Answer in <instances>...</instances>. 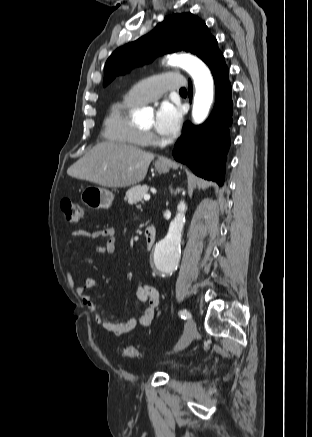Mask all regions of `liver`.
<instances>
[{
	"instance_id": "liver-1",
	"label": "liver",
	"mask_w": 312,
	"mask_h": 437,
	"mask_svg": "<svg viewBox=\"0 0 312 437\" xmlns=\"http://www.w3.org/2000/svg\"><path fill=\"white\" fill-rule=\"evenodd\" d=\"M155 155L132 145L101 142L68 170V175L105 187H128L146 177Z\"/></svg>"
}]
</instances>
